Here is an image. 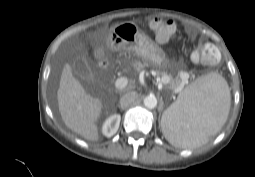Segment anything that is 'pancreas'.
I'll use <instances>...</instances> for the list:
<instances>
[{
    "instance_id": "1",
    "label": "pancreas",
    "mask_w": 255,
    "mask_h": 177,
    "mask_svg": "<svg viewBox=\"0 0 255 177\" xmlns=\"http://www.w3.org/2000/svg\"><path fill=\"white\" fill-rule=\"evenodd\" d=\"M149 64L147 62L141 63V62H135L133 64L134 68L137 71H140L145 66H148ZM159 75H161V81L163 84L166 85V87L172 91H175L177 87L180 85L181 80L179 78H173L170 75H167L165 72H160Z\"/></svg>"
}]
</instances>
